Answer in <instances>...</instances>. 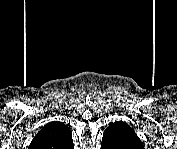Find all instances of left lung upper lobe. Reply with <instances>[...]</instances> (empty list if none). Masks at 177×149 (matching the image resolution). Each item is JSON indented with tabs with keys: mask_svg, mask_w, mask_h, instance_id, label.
<instances>
[{
	"mask_svg": "<svg viewBox=\"0 0 177 149\" xmlns=\"http://www.w3.org/2000/svg\"><path fill=\"white\" fill-rule=\"evenodd\" d=\"M103 142L104 144L115 146L109 149H141L143 147L135 131L123 121L110 123L104 131Z\"/></svg>",
	"mask_w": 177,
	"mask_h": 149,
	"instance_id": "obj_1",
	"label": "left lung upper lobe"
}]
</instances>
